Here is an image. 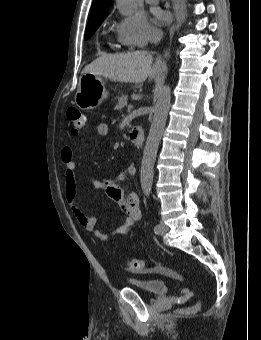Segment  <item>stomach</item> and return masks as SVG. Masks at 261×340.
I'll list each match as a JSON object with an SVG mask.
<instances>
[{"instance_id": "stomach-1", "label": "stomach", "mask_w": 261, "mask_h": 340, "mask_svg": "<svg viewBox=\"0 0 261 340\" xmlns=\"http://www.w3.org/2000/svg\"><path fill=\"white\" fill-rule=\"evenodd\" d=\"M111 94L105 85V81L99 75L84 73L78 84L75 94V103L82 110H92L103 101L110 98Z\"/></svg>"}]
</instances>
